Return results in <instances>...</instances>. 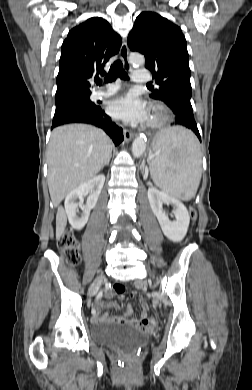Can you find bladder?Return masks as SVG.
I'll return each instance as SVG.
<instances>
[{"instance_id":"obj_1","label":"bladder","mask_w":252,"mask_h":390,"mask_svg":"<svg viewBox=\"0 0 252 390\" xmlns=\"http://www.w3.org/2000/svg\"><path fill=\"white\" fill-rule=\"evenodd\" d=\"M91 339L98 345L132 350L146 343L149 336L132 329L128 325L104 322L92 325Z\"/></svg>"}]
</instances>
